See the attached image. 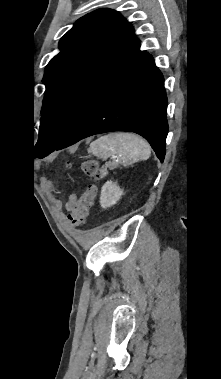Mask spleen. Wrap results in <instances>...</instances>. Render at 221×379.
<instances>
[{
	"label": "spleen",
	"mask_w": 221,
	"mask_h": 379,
	"mask_svg": "<svg viewBox=\"0 0 221 379\" xmlns=\"http://www.w3.org/2000/svg\"><path fill=\"white\" fill-rule=\"evenodd\" d=\"M89 152L103 160L117 157L119 164L129 166L138 161L147 160L151 149L149 144L137 135L112 133L92 142Z\"/></svg>",
	"instance_id": "obj_1"
}]
</instances>
